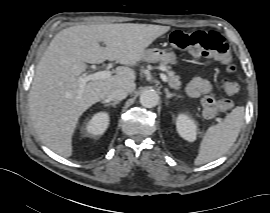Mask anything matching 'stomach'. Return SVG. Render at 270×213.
<instances>
[{
    "mask_svg": "<svg viewBox=\"0 0 270 213\" xmlns=\"http://www.w3.org/2000/svg\"><path fill=\"white\" fill-rule=\"evenodd\" d=\"M143 61L161 62V63H177V56L173 51L161 50L158 48L146 49L142 58Z\"/></svg>",
    "mask_w": 270,
    "mask_h": 213,
    "instance_id": "obj_1",
    "label": "stomach"
}]
</instances>
